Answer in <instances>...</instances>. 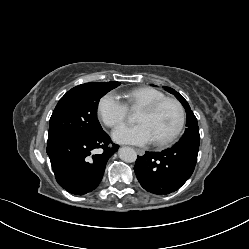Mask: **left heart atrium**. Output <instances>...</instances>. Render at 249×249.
<instances>
[{"mask_svg": "<svg viewBox=\"0 0 249 249\" xmlns=\"http://www.w3.org/2000/svg\"><path fill=\"white\" fill-rule=\"evenodd\" d=\"M113 138L120 143L145 145L154 141L148 126L144 123L124 125L113 132Z\"/></svg>", "mask_w": 249, "mask_h": 249, "instance_id": "39dd6f15", "label": "left heart atrium"}]
</instances>
